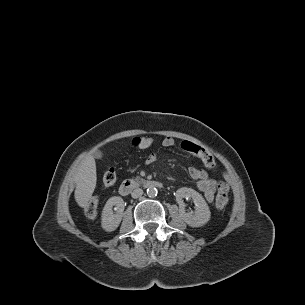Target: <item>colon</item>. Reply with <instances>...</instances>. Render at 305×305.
I'll list each match as a JSON object with an SVG mask.
<instances>
[{"label": "colon", "instance_id": "colon-1", "mask_svg": "<svg viewBox=\"0 0 305 305\" xmlns=\"http://www.w3.org/2000/svg\"><path fill=\"white\" fill-rule=\"evenodd\" d=\"M153 143L151 137H135L132 140V146L136 149L143 150L149 148ZM117 175L114 169H109L103 175V185L111 187L116 183ZM228 201V185L225 182H220L218 185V192L215 198V207L217 210H223ZM99 200L93 197L85 208V214L88 218L94 219L98 214Z\"/></svg>", "mask_w": 305, "mask_h": 305}]
</instances>
